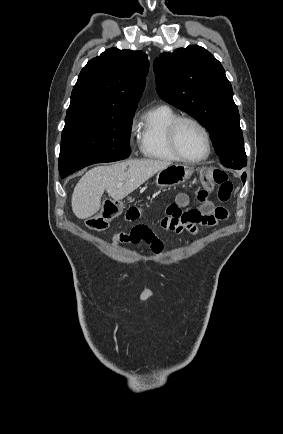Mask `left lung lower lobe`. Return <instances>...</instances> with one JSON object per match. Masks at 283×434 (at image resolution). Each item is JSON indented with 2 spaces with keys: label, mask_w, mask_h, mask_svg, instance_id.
<instances>
[{
  "label": "left lung lower lobe",
  "mask_w": 283,
  "mask_h": 434,
  "mask_svg": "<svg viewBox=\"0 0 283 434\" xmlns=\"http://www.w3.org/2000/svg\"><path fill=\"white\" fill-rule=\"evenodd\" d=\"M241 178H242L243 181L245 180V178H246V173L245 172L243 173V175H242Z\"/></svg>",
  "instance_id": "1"
}]
</instances>
